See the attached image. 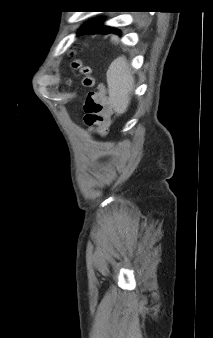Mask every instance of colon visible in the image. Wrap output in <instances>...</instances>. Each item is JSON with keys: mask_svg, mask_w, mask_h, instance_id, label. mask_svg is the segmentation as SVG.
I'll return each mask as SVG.
<instances>
[{"mask_svg": "<svg viewBox=\"0 0 213 338\" xmlns=\"http://www.w3.org/2000/svg\"><path fill=\"white\" fill-rule=\"evenodd\" d=\"M72 65L85 74L84 85L92 87L94 81L91 76V68L85 66L81 61H74ZM84 122L89 128L99 133L106 132L109 124V107L102 88L88 92L84 105Z\"/></svg>", "mask_w": 213, "mask_h": 338, "instance_id": "colon-1", "label": "colon"}]
</instances>
